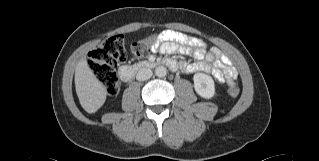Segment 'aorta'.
<instances>
[{
    "instance_id": "762f6f07",
    "label": "aorta",
    "mask_w": 319,
    "mask_h": 161,
    "mask_svg": "<svg viewBox=\"0 0 319 161\" xmlns=\"http://www.w3.org/2000/svg\"><path fill=\"white\" fill-rule=\"evenodd\" d=\"M166 74H167V69H166L164 66H158V67H156V69H155V75H156L157 77L162 78V77H165Z\"/></svg>"
}]
</instances>
